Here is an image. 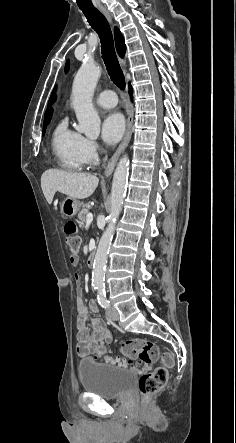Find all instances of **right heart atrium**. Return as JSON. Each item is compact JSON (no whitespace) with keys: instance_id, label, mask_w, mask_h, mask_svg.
I'll return each instance as SVG.
<instances>
[{"instance_id":"1","label":"right heart atrium","mask_w":236,"mask_h":443,"mask_svg":"<svg viewBox=\"0 0 236 443\" xmlns=\"http://www.w3.org/2000/svg\"><path fill=\"white\" fill-rule=\"evenodd\" d=\"M97 144L94 140L89 138H84L82 143V157L85 164H93L97 158Z\"/></svg>"}]
</instances>
